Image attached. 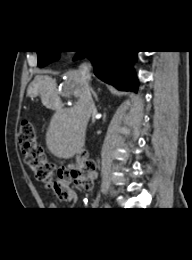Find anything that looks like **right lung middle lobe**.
Masks as SVG:
<instances>
[{"label":"right lung middle lobe","mask_w":192,"mask_h":260,"mask_svg":"<svg viewBox=\"0 0 192 260\" xmlns=\"http://www.w3.org/2000/svg\"><path fill=\"white\" fill-rule=\"evenodd\" d=\"M38 66L44 67L49 63L59 59L60 51H37Z\"/></svg>","instance_id":"right-lung-middle-lobe-1"}]
</instances>
